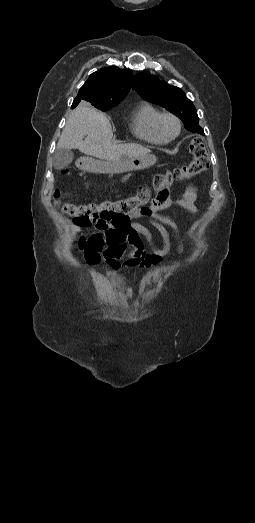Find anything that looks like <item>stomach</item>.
Segmentation results:
<instances>
[{
	"label": "stomach",
	"instance_id": "0dacf381",
	"mask_svg": "<svg viewBox=\"0 0 255 523\" xmlns=\"http://www.w3.org/2000/svg\"><path fill=\"white\" fill-rule=\"evenodd\" d=\"M154 160L151 156H139V158H130L128 162L119 165H110L108 173L110 176H119L121 172H132V170H144L153 166Z\"/></svg>",
	"mask_w": 255,
	"mask_h": 523
}]
</instances>
